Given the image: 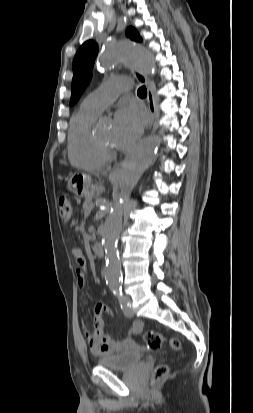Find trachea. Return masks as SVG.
<instances>
[{"instance_id":"obj_1","label":"trachea","mask_w":253,"mask_h":413,"mask_svg":"<svg viewBox=\"0 0 253 413\" xmlns=\"http://www.w3.org/2000/svg\"><path fill=\"white\" fill-rule=\"evenodd\" d=\"M137 94L139 96H146L147 95V89L145 86H142L138 89Z\"/></svg>"}]
</instances>
